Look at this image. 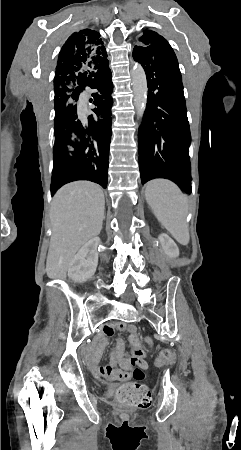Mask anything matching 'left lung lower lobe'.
<instances>
[{"label":"left lung lower lobe","instance_id":"1","mask_svg":"<svg viewBox=\"0 0 241 450\" xmlns=\"http://www.w3.org/2000/svg\"><path fill=\"white\" fill-rule=\"evenodd\" d=\"M133 58L144 68L149 88L138 134L142 184L166 178L191 193L190 128L176 55L168 44L155 55L134 49Z\"/></svg>","mask_w":241,"mask_h":450}]
</instances>
